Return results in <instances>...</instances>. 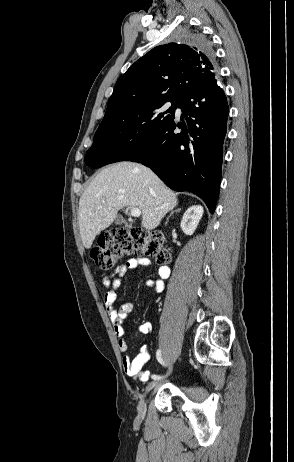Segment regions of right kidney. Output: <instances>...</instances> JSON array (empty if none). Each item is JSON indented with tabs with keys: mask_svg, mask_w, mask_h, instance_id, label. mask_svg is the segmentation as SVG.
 Instances as JSON below:
<instances>
[{
	"mask_svg": "<svg viewBox=\"0 0 294 462\" xmlns=\"http://www.w3.org/2000/svg\"><path fill=\"white\" fill-rule=\"evenodd\" d=\"M203 207L201 205H193L186 210L181 220V229L186 235H192L203 215Z\"/></svg>",
	"mask_w": 294,
	"mask_h": 462,
	"instance_id": "ca27d5eb",
	"label": "right kidney"
}]
</instances>
